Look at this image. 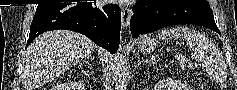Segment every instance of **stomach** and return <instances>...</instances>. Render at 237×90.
Returning <instances> with one entry per match:
<instances>
[{
	"label": "stomach",
	"instance_id": "1",
	"mask_svg": "<svg viewBox=\"0 0 237 90\" xmlns=\"http://www.w3.org/2000/svg\"><path fill=\"white\" fill-rule=\"evenodd\" d=\"M157 46H158L157 40L154 38H151L150 36H144L138 42V49L142 53H151L156 49Z\"/></svg>",
	"mask_w": 237,
	"mask_h": 90
}]
</instances>
